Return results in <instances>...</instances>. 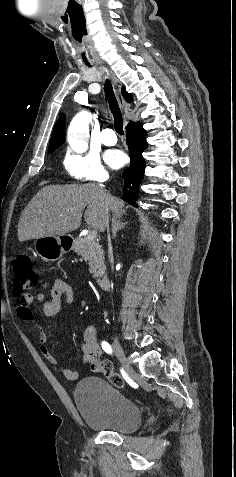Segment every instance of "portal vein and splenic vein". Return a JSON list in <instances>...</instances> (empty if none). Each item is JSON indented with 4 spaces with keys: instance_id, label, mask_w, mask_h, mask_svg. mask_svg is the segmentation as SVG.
Here are the masks:
<instances>
[{
    "instance_id": "18ae733b",
    "label": "portal vein and splenic vein",
    "mask_w": 236,
    "mask_h": 477,
    "mask_svg": "<svg viewBox=\"0 0 236 477\" xmlns=\"http://www.w3.org/2000/svg\"><path fill=\"white\" fill-rule=\"evenodd\" d=\"M96 238H97V231L96 230L89 231L87 235V239L90 241H94Z\"/></svg>"
}]
</instances>
